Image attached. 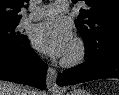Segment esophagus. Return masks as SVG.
Masks as SVG:
<instances>
[{
    "mask_svg": "<svg viewBox=\"0 0 119 95\" xmlns=\"http://www.w3.org/2000/svg\"><path fill=\"white\" fill-rule=\"evenodd\" d=\"M56 81H57V72L52 67H49L46 76V83L48 90L53 91L57 89Z\"/></svg>",
    "mask_w": 119,
    "mask_h": 95,
    "instance_id": "34e87169",
    "label": "esophagus"
}]
</instances>
